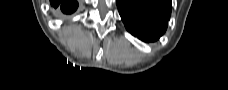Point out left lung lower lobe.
<instances>
[{
  "instance_id": "obj_1",
  "label": "left lung lower lobe",
  "mask_w": 228,
  "mask_h": 90,
  "mask_svg": "<svg viewBox=\"0 0 228 90\" xmlns=\"http://www.w3.org/2000/svg\"><path fill=\"white\" fill-rule=\"evenodd\" d=\"M126 29L139 39L157 40L166 30L171 0H116Z\"/></svg>"
}]
</instances>
